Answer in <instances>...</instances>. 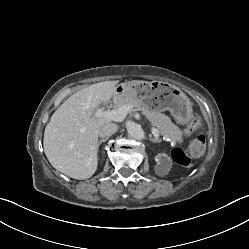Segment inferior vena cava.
<instances>
[{"label":"inferior vena cava","instance_id":"602c4592","mask_svg":"<svg viewBox=\"0 0 249 249\" xmlns=\"http://www.w3.org/2000/svg\"><path fill=\"white\" fill-rule=\"evenodd\" d=\"M117 125L115 123H106L103 124L98 131V135L101 138H106L109 137L110 135L114 134L117 132Z\"/></svg>","mask_w":249,"mask_h":249}]
</instances>
